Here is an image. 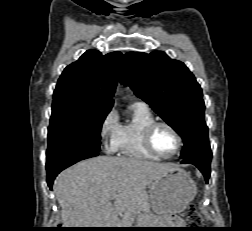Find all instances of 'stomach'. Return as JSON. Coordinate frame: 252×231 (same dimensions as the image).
I'll return each instance as SVG.
<instances>
[{
    "label": "stomach",
    "instance_id": "obj_1",
    "mask_svg": "<svg viewBox=\"0 0 252 231\" xmlns=\"http://www.w3.org/2000/svg\"><path fill=\"white\" fill-rule=\"evenodd\" d=\"M197 193L195 182L182 169L156 179L149 190L152 210L158 215H175L187 208Z\"/></svg>",
    "mask_w": 252,
    "mask_h": 231
}]
</instances>
